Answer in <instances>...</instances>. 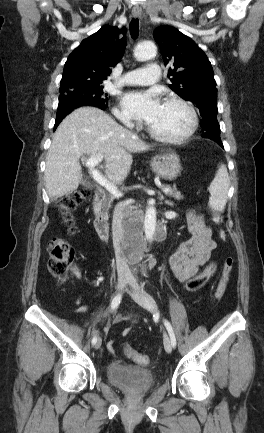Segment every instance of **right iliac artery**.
I'll list each match as a JSON object with an SVG mask.
<instances>
[{
	"label": "right iliac artery",
	"mask_w": 264,
	"mask_h": 433,
	"mask_svg": "<svg viewBox=\"0 0 264 433\" xmlns=\"http://www.w3.org/2000/svg\"><path fill=\"white\" fill-rule=\"evenodd\" d=\"M121 297H122L121 294H118L117 296L114 297V299L112 300L111 305H110L111 310H115L118 308V305L120 304V301H121ZM96 342H97V337L94 336L92 339V344L95 345Z\"/></svg>",
	"instance_id": "82829eb1"
}]
</instances>
